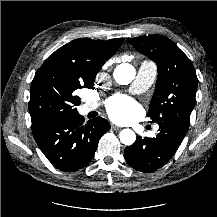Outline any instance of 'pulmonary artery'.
Here are the masks:
<instances>
[{
    "mask_svg": "<svg viewBox=\"0 0 217 217\" xmlns=\"http://www.w3.org/2000/svg\"><path fill=\"white\" fill-rule=\"evenodd\" d=\"M157 75V67L150 61H143L139 65L137 75L133 84L130 87V91L133 93H142L146 91L155 81ZM98 102H86L80 107L81 114H87L96 108H98ZM159 126H154L153 132L156 133Z\"/></svg>",
    "mask_w": 217,
    "mask_h": 217,
    "instance_id": "1",
    "label": "pulmonary artery"
}]
</instances>
